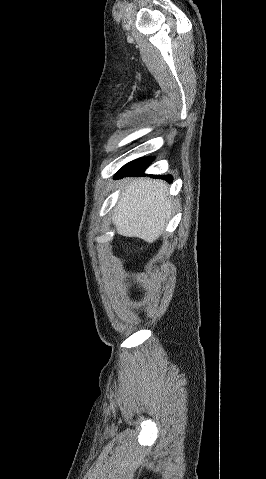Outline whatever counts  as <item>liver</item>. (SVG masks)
<instances>
[{
  "label": "liver",
  "mask_w": 266,
  "mask_h": 479,
  "mask_svg": "<svg viewBox=\"0 0 266 479\" xmlns=\"http://www.w3.org/2000/svg\"><path fill=\"white\" fill-rule=\"evenodd\" d=\"M114 207L112 223L118 234L147 242L163 233L173 212L167 184L154 179H130Z\"/></svg>",
  "instance_id": "liver-1"
}]
</instances>
